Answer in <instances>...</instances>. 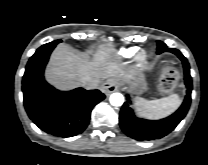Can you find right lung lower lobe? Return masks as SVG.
<instances>
[{
	"instance_id": "98d812e1",
	"label": "right lung lower lobe",
	"mask_w": 208,
	"mask_h": 165,
	"mask_svg": "<svg viewBox=\"0 0 208 165\" xmlns=\"http://www.w3.org/2000/svg\"><path fill=\"white\" fill-rule=\"evenodd\" d=\"M55 46L35 52L29 59L22 80L24 106L41 130L54 136L71 137L85 130L93 107L105 95L99 90L83 88L62 92L49 85L43 75Z\"/></svg>"
}]
</instances>
